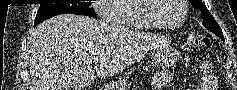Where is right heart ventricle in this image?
<instances>
[{
  "mask_svg": "<svg viewBox=\"0 0 237 90\" xmlns=\"http://www.w3.org/2000/svg\"><path fill=\"white\" fill-rule=\"evenodd\" d=\"M137 2L141 0H122L117 4H111L110 9H107V13L112 16L113 28H149L145 22L138 17V13L142 11H136Z\"/></svg>",
  "mask_w": 237,
  "mask_h": 90,
  "instance_id": "1",
  "label": "right heart ventricle"
}]
</instances>
